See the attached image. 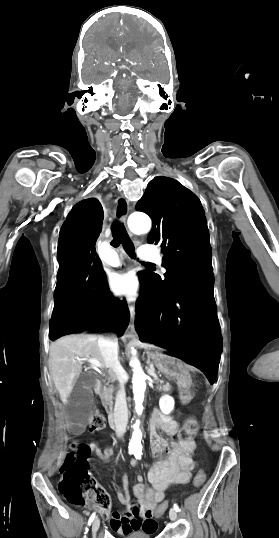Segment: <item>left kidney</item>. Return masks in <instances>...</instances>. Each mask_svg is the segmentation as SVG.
<instances>
[{"label":"left kidney","instance_id":"1","mask_svg":"<svg viewBox=\"0 0 279 538\" xmlns=\"http://www.w3.org/2000/svg\"><path fill=\"white\" fill-rule=\"evenodd\" d=\"M174 404L175 402L173 398L168 396V394H164V396H161L159 400L160 410L163 412V414H170V412L174 410Z\"/></svg>","mask_w":279,"mask_h":538}]
</instances>
